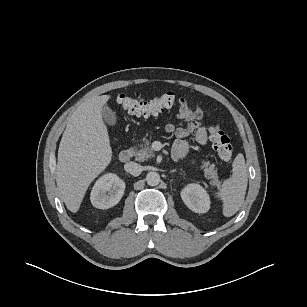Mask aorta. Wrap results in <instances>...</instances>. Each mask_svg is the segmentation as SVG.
<instances>
[{"instance_id":"762f6f07","label":"aorta","mask_w":307,"mask_h":307,"mask_svg":"<svg viewBox=\"0 0 307 307\" xmlns=\"http://www.w3.org/2000/svg\"><path fill=\"white\" fill-rule=\"evenodd\" d=\"M146 182L150 186H156L160 183V175L157 172H149L146 175Z\"/></svg>"}]
</instances>
